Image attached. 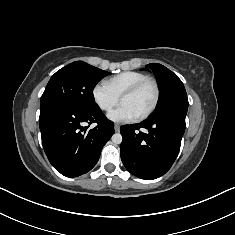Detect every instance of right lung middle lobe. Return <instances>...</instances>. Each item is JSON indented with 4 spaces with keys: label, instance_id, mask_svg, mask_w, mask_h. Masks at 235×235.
I'll use <instances>...</instances> for the list:
<instances>
[{
    "label": "right lung middle lobe",
    "instance_id": "obj_1",
    "mask_svg": "<svg viewBox=\"0 0 235 235\" xmlns=\"http://www.w3.org/2000/svg\"><path fill=\"white\" fill-rule=\"evenodd\" d=\"M108 74L83 61L73 62L51 77L42 94L40 107L63 105L76 110L96 107L93 89Z\"/></svg>",
    "mask_w": 235,
    "mask_h": 235
}]
</instances>
